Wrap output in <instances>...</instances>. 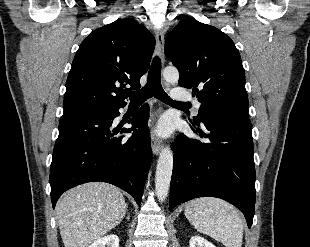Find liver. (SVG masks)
<instances>
[{
  "instance_id": "liver-1",
  "label": "liver",
  "mask_w": 310,
  "mask_h": 247,
  "mask_svg": "<svg viewBox=\"0 0 310 247\" xmlns=\"http://www.w3.org/2000/svg\"><path fill=\"white\" fill-rule=\"evenodd\" d=\"M126 210L123 194L113 185L93 182L69 190L56 205L64 247H89L115 228Z\"/></svg>"
}]
</instances>
